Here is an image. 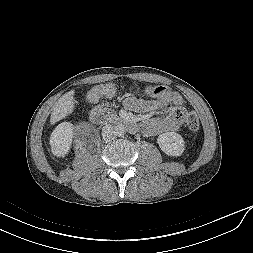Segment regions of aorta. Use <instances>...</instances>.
<instances>
[{
	"label": "aorta",
	"instance_id": "762f6f07",
	"mask_svg": "<svg viewBox=\"0 0 253 253\" xmlns=\"http://www.w3.org/2000/svg\"><path fill=\"white\" fill-rule=\"evenodd\" d=\"M115 136L121 137L125 133V127L123 124H118L114 126Z\"/></svg>",
	"mask_w": 253,
	"mask_h": 253
}]
</instances>
